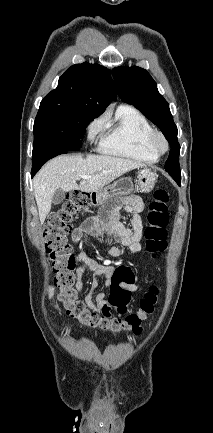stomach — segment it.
<instances>
[{
	"label": "stomach",
	"instance_id": "stomach-1",
	"mask_svg": "<svg viewBox=\"0 0 213 433\" xmlns=\"http://www.w3.org/2000/svg\"><path fill=\"white\" fill-rule=\"evenodd\" d=\"M137 178L136 186H134L130 177H123L112 185L89 193L90 204L93 206H104L108 204L112 198L131 194L135 190L142 193H149L152 191L157 181V175L148 168L140 170Z\"/></svg>",
	"mask_w": 213,
	"mask_h": 433
}]
</instances>
